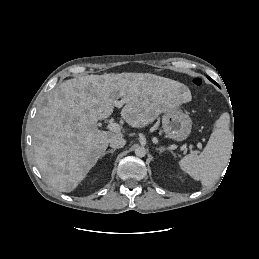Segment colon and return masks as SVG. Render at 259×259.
I'll return each instance as SVG.
<instances>
[{"label": "colon", "instance_id": "5ec220e1", "mask_svg": "<svg viewBox=\"0 0 259 259\" xmlns=\"http://www.w3.org/2000/svg\"><path fill=\"white\" fill-rule=\"evenodd\" d=\"M192 82L194 85H197V86L202 84V80L200 78H195V79H193Z\"/></svg>", "mask_w": 259, "mask_h": 259}]
</instances>
